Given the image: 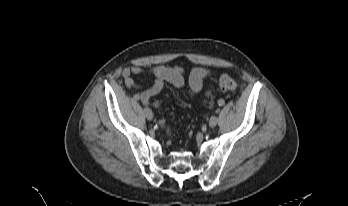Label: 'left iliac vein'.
Returning a JSON list of instances; mask_svg holds the SVG:
<instances>
[{
	"label": "left iliac vein",
	"instance_id": "obj_1",
	"mask_svg": "<svg viewBox=\"0 0 348 206\" xmlns=\"http://www.w3.org/2000/svg\"><path fill=\"white\" fill-rule=\"evenodd\" d=\"M218 123V118L216 116H212L209 120V126L211 128L215 127Z\"/></svg>",
	"mask_w": 348,
	"mask_h": 206
}]
</instances>
